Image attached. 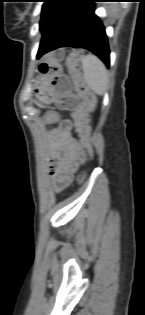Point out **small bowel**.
<instances>
[{
    "instance_id": "c3829d8e",
    "label": "small bowel",
    "mask_w": 145,
    "mask_h": 315,
    "mask_svg": "<svg viewBox=\"0 0 145 315\" xmlns=\"http://www.w3.org/2000/svg\"><path fill=\"white\" fill-rule=\"evenodd\" d=\"M51 158L49 174L60 190L71 183L79 166L85 160V152L72 134L69 120L59 123L50 135Z\"/></svg>"
}]
</instances>
